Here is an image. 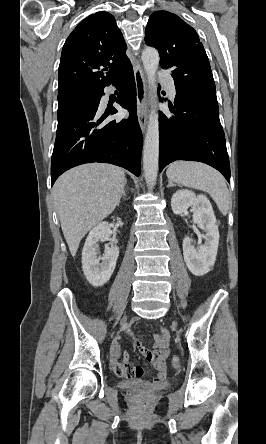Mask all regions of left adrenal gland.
I'll return each mask as SVG.
<instances>
[{
	"instance_id": "left-adrenal-gland-1",
	"label": "left adrenal gland",
	"mask_w": 266,
	"mask_h": 444,
	"mask_svg": "<svg viewBox=\"0 0 266 444\" xmlns=\"http://www.w3.org/2000/svg\"><path fill=\"white\" fill-rule=\"evenodd\" d=\"M173 186H176V184H173V182L171 180H169L167 187H173Z\"/></svg>"
}]
</instances>
